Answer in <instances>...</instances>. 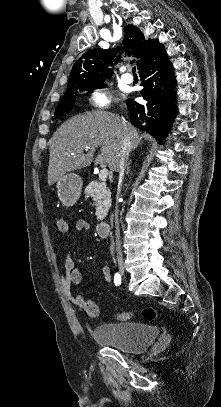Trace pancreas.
<instances>
[{"label": "pancreas", "mask_w": 221, "mask_h": 407, "mask_svg": "<svg viewBox=\"0 0 221 407\" xmlns=\"http://www.w3.org/2000/svg\"><path fill=\"white\" fill-rule=\"evenodd\" d=\"M86 197H92L96 205V218L102 220L111 207V192L105 182L93 181L84 190Z\"/></svg>", "instance_id": "pancreas-1"}]
</instances>
